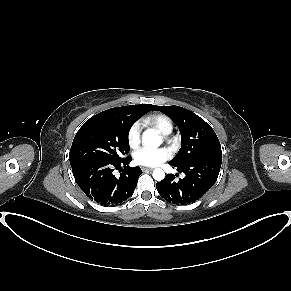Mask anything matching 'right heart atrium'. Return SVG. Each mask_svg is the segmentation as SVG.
Here are the masks:
<instances>
[{"label": "right heart atrium", "instance_id": "right-heart-atrium-1", "mask_svg": "<svg viewBox=\"0 0 291 291\" xmlns=\"http://www.w3.org/2000/svg\"><path fill=\"white\" fill-rule=\"evenodd\" d=\"M142 124L139 121L134 122L128 129L127 141L130 147H136L141 139Z\"/></svg>", "mask_w": 291, "mask_h": 291}]
</instances>
